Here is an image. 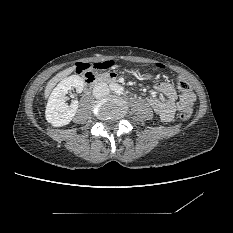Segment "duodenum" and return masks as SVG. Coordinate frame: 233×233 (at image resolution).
Returning <instances> with one entry per match:
<instances>
[{
	"label": "duodenum",
	"instance_id": "duodenum-1",
	"mask_svg": "<svg viewBox=\"0 0 233 233\" xmlns=\"http://www.w3.org/2000/svg\"><path fill=\"white\" fill-rule=\"evenodd\" d=\"M85 80L88 84H95L98 82H113L115 81V78H113L111 75L108 74L105 75L94 74L90 79L85 78Z\"/></svg>",
	"mask_w": 233,
	"mask_h": 233
}]
</instances>
